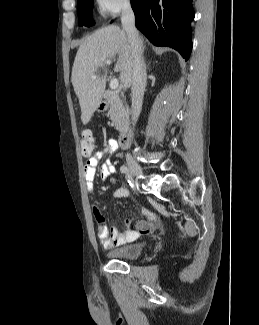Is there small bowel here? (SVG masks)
I'll return each mask as SVG.
<instances>
[{"mask_svg": "<svg viewBox=\"0 0 259 325\" xmlns=\"http://www.w3.org/2000/svg\"><path fill=\"white\" fill-rule=\"evenodd\" d=\"M118 148L117 143L111 142L104 149L99 150L91 154L84 163V177L86 182V188L89 192L94 190V180L96 177L97 167L100 160L107 154L116 152ZM99 175L102 180H106L116 173L115 166L111 160H106L99 166ZM129 190L125 187L117 188L114 193V198H126L129 196ZM93 214L97 221V235L106 249H110L116 246L123 245L129 241L135 240L139 233L138 231L128 228L124 232H121L117 226H112L110 229L104 223V217L101 209L97 206L93 207ZM148 219L153 218L148 212H146ZM129 222V219H126Z\"/></svg>", "mask_w": 259, "mask_h": 325, "instance_id": "obj_1", "label": "small bowel"}]
</instances>
